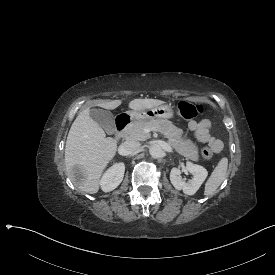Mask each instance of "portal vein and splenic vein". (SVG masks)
Returning a JSON list of instances; mask_svg holds the SVG:
<instances>
[{
	"label": "portal vein and splenic vein",
	"instance_id": "18ae733b",
	"mask_svg": "<svg viewBox=\"0 0 275 275\" xmlns=\"http://www.w3.org/2000/svg\"><path fill=\"white\" fill-rule=\"evenodd\" d=\"M144 131H145V132H149V131H150V129H149V128H146V129H144Z\"/></svg>",
	"mask_w": 275,
	"mask_h": 275
}]
</instances>
